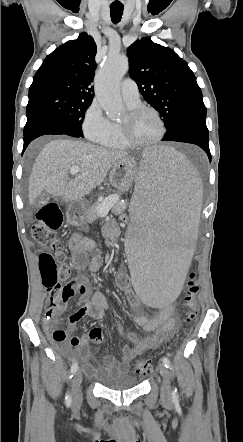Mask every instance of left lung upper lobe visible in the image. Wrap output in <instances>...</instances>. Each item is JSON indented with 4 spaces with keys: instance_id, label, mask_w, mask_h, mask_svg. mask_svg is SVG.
I'll return each instance as SVG.
<instances>
[{
    "instance_id": "obj_1",
    "label": "left lung upper lobe",
    "mask_w": 243,
    "mask_h": 442,
    "mask_svg": "<svg viewBox=\"0 0 243 442\" xmlns=\"http://www.w3.org/2000/svg\"><path fill=\"white\" fill-rule=\"evenodd\" d=\"M127 56L130 76L145 100L160 113L167 133L184 116L206 109L196 77L172 49L142 38L128 47Z\"/></svg>"
}]
</instances>
